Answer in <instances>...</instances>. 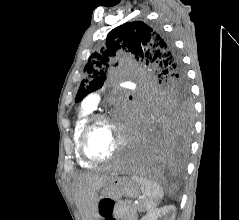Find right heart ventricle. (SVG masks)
I'll return each mask as SVG.
<instances>
[{
    "mask_svg": "<svg viewBox=\"0 0 239 220\" xmlns=\"http://www.w3.org/2000/svg\"><path fill=\"white\" fill-rule=\"evenodd\" d=\"M89 113H90V110L89 109H85V108H83L79 112V114L77 116V119L75 121V126H74V131H73V142H74L75 155H76V158H77V161H78L79 165L81 167H84V168L92 167V163L86 161L81 156V153H80V150H79L80 133H81L84 125L86 124V122H87V120L89 118Z\"/></svg>",
    "mask_w": 239,
    "mask_h": 220,
    "instance_id": "e07e8e85",
    "label": "right heart ventricle"
}]
</instances>
